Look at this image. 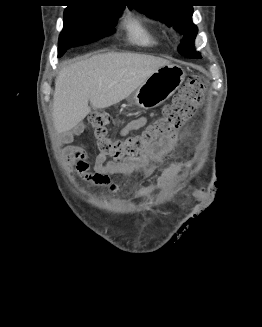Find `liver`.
<instances>
[{
	"label": "liver",
	"mask_w": 262,
	"mask_h": 327,
	"mask_svg": "<svg viewBox=\"0 0 262 327\" xmlns=\"http://www.w3.org/2000/svg\"><path fill=\"white\" fill-rule=\"evenodd\" d=\"M167 64L170 62L151 55L110 52L66 66L55 81V130L61 134L73 129L91 107L104 109L119 103Z\"/></svg>",
	"instance_id": "1"
}]
</instances>
